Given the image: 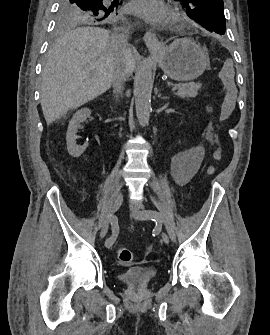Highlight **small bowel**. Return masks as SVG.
<instances>
[{
	"mask_svg": "<svg viewBox=\"0 0 270 335\" xmlns=\"http://www.w3.org/2000/svg\"><path fill=\"white\" fill-rule=\"evenodd\" d=\"M204 154V148L201 145H197L186 154L175 159L172 174L178 184L186 183L198 170L204 158Z\"/></svg>",
	"mask_w": 270,
	"mask_h": 335,
	"instance_id": "c3829d8e",
	"label": "small bowel"
}]
</instances>
